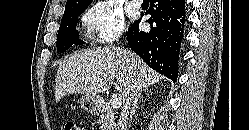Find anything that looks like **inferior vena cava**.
I'll return each instance as SVG.
<instances>
[{"label":"inferior vena cava","instance_id":"inferior-vena-cava-1","mask_svg":"<svg viewBox=\"0 0 249 130\" xmlns=\"http://www.w3.org/2000/svg\"><path fill=\"white\" fill-rule=\"evenodd\" d=\"M139 91V87L134 84L130 87L127 95L125 96L123 100V108L120 114V118L118 121V130H126L127 129V123H128V115H129V109L131 102L133 101L134 97L137 95V92Z\"/></svg>","mask_w":249,"mask_h":130}]
</instances>
